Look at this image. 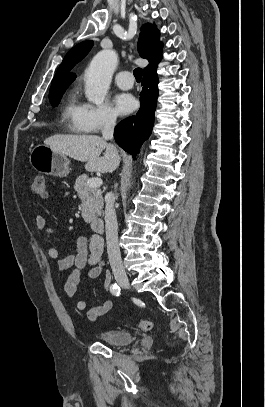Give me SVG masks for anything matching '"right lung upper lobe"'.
<instances>
[{
    "label": "right lung upper lobe",
    "instance_id": "1",
    "mask_svg": "<svg viewBox=\"0 0 265 407\" xmlns=\"http://www.w3.org/2000/svg\"><path fill=\"white\" fill-rule=\"evenodd\" d=\"M159 31L151 24H145L141 28L138 40V51L142 58L149 61L146 71L152 67L160 58L162 53V43L159 40ZM93 41H84L74 46L64 57L52 82V85L72 83L76 75L70 74V70L80 62L91 50Z\"/></svg>",
    "mask_w": 265,
    "mask_h": 407
}]
</instances>
